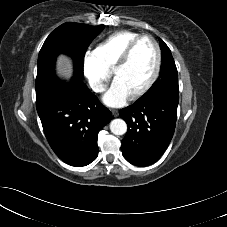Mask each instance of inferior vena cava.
I'll list each match as a JSON object with an SVG mask.
<instances>
[{"instance_id":"1","label":"inferior vena cava","mask_w":227,"mask_h":227,"mask_svg":"<svg viewBox=\"0 0 227 227\" xmlns=\"http://www.w3.org/2000/svg\"><path fill=\"white\" fill-rule=\"evenodd\" d=\"M92 89H93L95 92H103V91H105V87H104V85H102V84H94V85L92 86Z\"/></svg>"}]
</instances>
